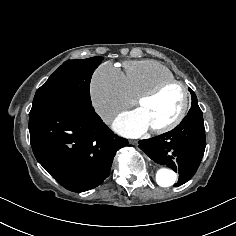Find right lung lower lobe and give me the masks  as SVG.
<instances>
[{
  "label": "right lung lower lobe",
  "instance_id": "right-lung-lower-lobe-1",
  "mask_svg": "<svg viewBox=\"0 0 236 236\" xmlns=\"http://www.w3.org/2000/svg\"><path fill=\"white\" fill-rule=\"evenodd\" d=\"M37 161L73 192L100 185L128 140L115 135L91 107H62L29 117Z\"/></svg>",
  "mask_w": 236,
  "mask_h": 236
}]
</instances>
